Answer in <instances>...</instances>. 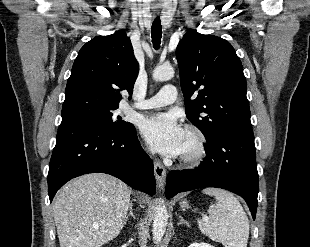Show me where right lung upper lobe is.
<instances>
[{"label": "right lung upper lobe", "mask_w": 310, "mask_h": 247, "mask_svg": "<svg viewBox=\"0 0 310 247\" xmlns=\"http://www.w3.org/2000/svg\"><path fill=\"white\" fill-rule=\"evenodd\" d=\"M139 72L129 37L124 31L87 42L74 61L62 110L76 106L118 108L121 91L133 92Z\"/></svg>", "instance_id": "right-lung-upper-lobe-1"}]
</instances>
